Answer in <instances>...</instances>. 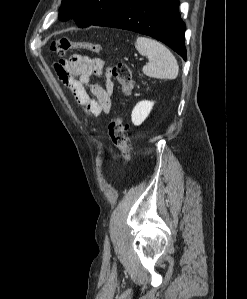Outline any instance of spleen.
Returning <instances> with one entry per match:
<instances>
[{"label": "spleen", "instance_id": "3e777b00", "mask_svg": "<svg viewBox=\"0 0 247 299\" xmlns=\"http://www.w3.org/2000/svg\"><path fill=\"white\" fill-rule=\"evenodd\" d=\"M135 47L149 60V63L142 69L145 75L159 79H175L178 76L177 60L162 43L147 37H138Z\"/></svg>", "mask_w": 247, "mask_h": 299}]
</instances>
